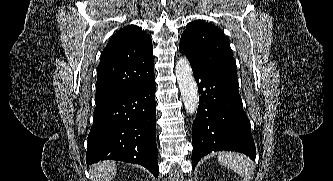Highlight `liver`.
Segmentation results:
<instances>
[{
  "mask_svg": "<svg viewBox=\"0 0 333 181\" xmlns=\"http://www.w3.org/2000/svg\"><path fill=\"white\" fill-rule=\"evenodd\" d=\"M117 173L116 163L105 160L90 167L91 181H112Z\"/></svg>",
  "mask_w": 333,
  "mask_h": 181,
  "instance_id": "liver-1",
  "label": "liver"
}]
</instances>
